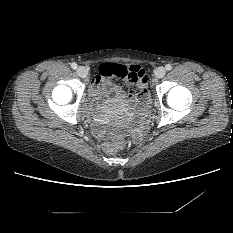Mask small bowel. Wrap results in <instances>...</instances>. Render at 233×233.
Masks as SVG:
<instances>
[{"label":"small bowel","instance_id":"1","mask_svg":"<svg viewBox=\"0 0 233 233\" xmlns=\"http://www.w3.org/2000/svg\"><path fill=\"white\" fill-rule=\"evenodd\" d=\"M118 68H124L127 77L123 79L136 78L138 83V94L125 93L120 85L112 82V78L118 76L116 71ZM147 91V76L145 70L138 64L123 65L119 63L100 62L98 74L94 77L90 96L87 106L92 108L95 104L102 103V98L105 96H113L116 100L122 101L125 104L131 105L134 109H142L144 95ZM102 119H96L92 124V130L95 135L100 138H106V131L103 126Z\"/></svg>","mask_w":233,"mask_h":233}]
</instances>
